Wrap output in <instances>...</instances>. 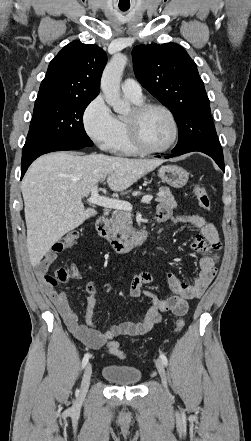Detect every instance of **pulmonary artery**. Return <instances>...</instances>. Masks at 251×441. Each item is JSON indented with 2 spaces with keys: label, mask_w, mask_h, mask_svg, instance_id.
Listing matches in <instances>:
<instances>
[{
  "label": "pulmonary artery",
  "mask_w": 251,
  "mask_h": 441,
  "mask_svg": "<svg viewBox=\"0 0 251 441\" xmlns=\"http://www.w3.org/2000/svg\"><path fill=\"white\" fill-rule=\"evenodd\" d=\"M122 91L126 96L133 98H142V88L140 84L132 78H127L122 83Z\"/></svg>",
  "instance_id": "1"
}]
</instances>
